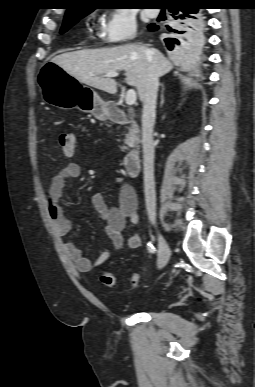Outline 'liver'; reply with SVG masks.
Segmentation results:
<instances>
[{
  "label": "liver",
  "instance_id": "6515ba94",
  "mask_svg": "<svg viewBox=\"0 0 255 387\" xmlns=\"http://www.w3.org/2000/svg\"><path fill=\"white\" fill-rule=\"evenodd\" d=\"M52 62L80 83L109 94L117 92V82L104 76L108 72L124 71L126 83L136 87L139 93L145 84L150 62L158 77L166 75L173 68L172 63L158 50L135 44L62 53L55 56Z\"/></svg>",
  "mask_w": 255,
  "mask_h": 387
}]
</instances>
